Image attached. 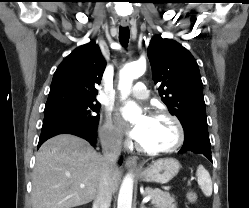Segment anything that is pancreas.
<instances>
[{"label":"pancreas","instance_id":"cf45deb5","mask_svg":"<svg viewBox=\"0 0 249 208\" xmlns=\"http://www.w3.org/2000/svg\"><path fill=\"white\" fill-rule=\"evenodd\" d=\"M145 195L151 197V204L156 208H176L175 198L168 192H164L158 188H145Z\"/></svg>","mask_w":249,"mask_h":208}]
</instances>
